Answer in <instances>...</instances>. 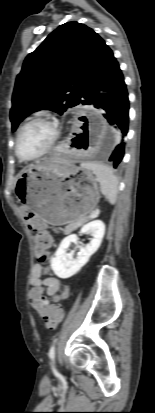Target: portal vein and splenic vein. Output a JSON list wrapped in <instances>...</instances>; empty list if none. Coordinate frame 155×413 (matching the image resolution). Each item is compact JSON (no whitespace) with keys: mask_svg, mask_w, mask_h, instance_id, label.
<instances>
[{"mask_svg":"<svg viewBox=\"0 0 155 413\" xmlns=\"http://www.w3.org/2000/svg\"><path fill=\"white\" fill-rule=\"evenodd\" d=\"M91 217L93 218V217H95V215H92Z\"/></svg>","mask_w":155,"mask_h":413,"instance_id":"1","label":"portal vein and splenic vein"}]
</instances>
